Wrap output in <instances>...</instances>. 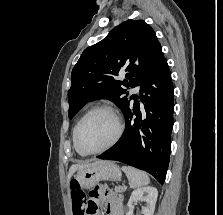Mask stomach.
I'll return each instance as SVG.
<instances>
[{"instance_id": "obj_1", "label": "stomach", "mask_w": 223, "mask_h": 215, "mask_svg": "<svg viewBox=\"0 0 223 215\" xmlns=\"http://www.w3.org/2000/svg\"><path fill=\"white\" fill-rule=\"evenodd\" d=\"M121 175L120 167L114 161H99L96 165L79 169L76 175L72 177V179H78L77 187H70L69 190L90 189L102 179L118 181V179H121Z\"/></svg>"}]
</instances>
